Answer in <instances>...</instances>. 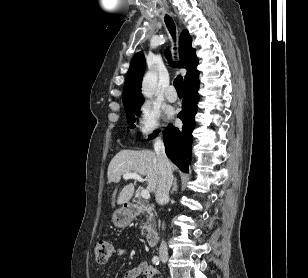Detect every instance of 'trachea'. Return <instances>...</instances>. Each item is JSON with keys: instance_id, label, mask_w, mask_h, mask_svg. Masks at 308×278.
<instances>
[{"instance_id": "1", "label": "trachea", "mask_w": 308, "mask_h": 278, "mask_svg": "<svg viewBox=\"0 0 308 278\" xmlns=\"http://www.w3.org/2000/svg\"><path fill=\"white\" fill-rule=\"evenodd\" d=\"M165 23L171 35L175 37V24L172 18L169 17L168 15H165ZM173 84H174V87L177 93L182 94L183 93V78L180 75L177 76Z\"/></svg>"}]
</instances>
